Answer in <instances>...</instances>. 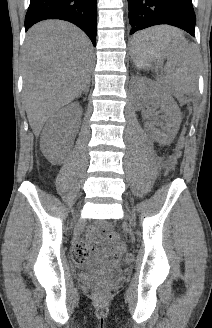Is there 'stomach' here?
<instances>
[{
	"label": "stomach",
	"instance_id": "obj_1",
	"mask_svg": "<svg viewBox=\"0 0 212 328\" xmlns=\"http://www.w3.org/2000/svg\"><path fill=\"white\" fill-rule=\"evenodd\" d=\"M132 57L138 67L149 66L155 60L164 57L163 53L159 50H140L137 51L132 47Z\"/></svg>",
	"mask_w": 212,
	"mask_h": 328
}]
</instances>
